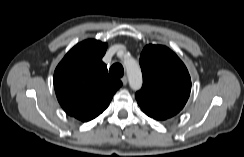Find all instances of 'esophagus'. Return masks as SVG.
<instances>
[{
    "mask_svg": "<svg viewBox=\"0 0 244 157\" xmlns=\"http://www.w3.org/2000/svg\"><path fill=\"white\" fill-rule=\"evenodd\" d=\"M121 81H122L123 85L125 86L128 83V78L126 76H124V77H122Z\"/></svg>",
    "mask_w": 244,
    "mask_h": 157,
    "instance_id": "34e87169",
    "label": "esophagus"
}]
</instances>
